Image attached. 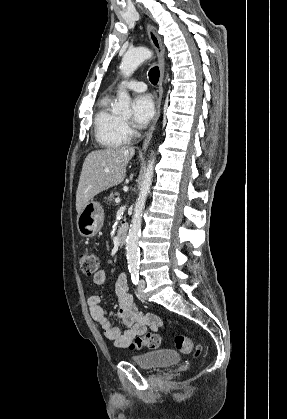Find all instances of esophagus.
<instances>
[{
  "mask_svg": "<svg viewBox=\"0 0 287 419\" xmlns=\"http://www.w3.org/2000/svg\"><path fill=\"white\" fill-rule=\"evenodd\" d=\"M147 33L150 39L151 44L153 45L157 56H158V62H159V69H160V77L158 82V89H157V100H156V115L152 122L151 127L149 128L146 138L142 145V150H146L148 148V145L151 141L156 123L160 116V110H161V101L163 96V80H164V71H165V48L162 44L161 38L156 33L155 28L151 24L146 25Z\"/></svg>",
  "mask_w": 287,
  "mask_h": 419,
  "instance_id": "34e87169",
  "label": "esophagus"
}]
</instances>
